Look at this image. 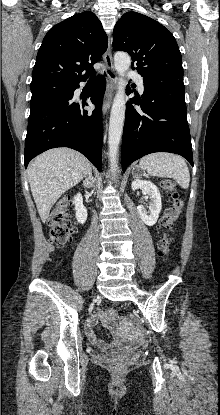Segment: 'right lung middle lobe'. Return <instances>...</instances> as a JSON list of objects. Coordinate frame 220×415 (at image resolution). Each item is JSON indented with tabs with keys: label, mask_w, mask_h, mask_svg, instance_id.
Returning <instances> with one entry per match:
<instances>
[{
	"label": "right lung middle lobe",
	"mask_w": 220,
	"mask_h": 415,
	"mask_svg": "<svg viewBox=\"0 0 220 415\" xmlns=\"http://www.w3.org/2000/svg\"><path fill=\"white\" fill-rule=\"evenodd\" d=\"M73 85V83L61 80L31 82L32 97L30 107L34 108L66 95L72 90Z\"/></svg>",
	"instance_id": "right-lung-middle-lobe-1"
}]
</instances>
